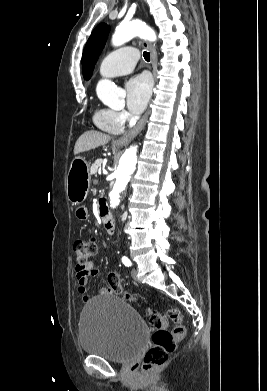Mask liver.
<instances>
[{
    "mask_svg": "<svg viewBox=\"0 0 267 391\" xmlns=\"http://www.w3.org/2000/svg\"><path fill=\"white\" fill-rule=\"evenodd\" d=\"M111 140V136L99 131H87L83 133L75 143L74 154L93 150L107 144Z\"/></svg>",
    "mask_w": 267,
    "mask_h": 391,
    "instance_id": "6515ba94",
    "label": "liver"
}]
</instances>
